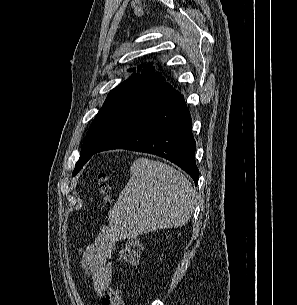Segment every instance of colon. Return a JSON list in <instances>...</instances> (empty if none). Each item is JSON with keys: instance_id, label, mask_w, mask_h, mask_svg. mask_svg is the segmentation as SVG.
Returning a JSON list of instances; mask_svg holds the SVG:
<instances>
[{"instance_id": "5ec220e1", "label": "colon", "mask_w": 297, "mask_h": 305, "mask_svg": "<svg viewBox=\"0 0 297 305\" xmlns=\"http://www.w3.org/2000/svg\"><path fill=\"white\" fill-rule=\"evenodd\" d=\"M99 183L101 191L108 195L109 185L105 174L99 175ZM141 254L142 243L138 239L132 238L124 242L119 251L118 259L122 264L133 266L139 263ZM101 305H126V301L118 289H110L102 299Z\"/></svg>"}]
</instances>
